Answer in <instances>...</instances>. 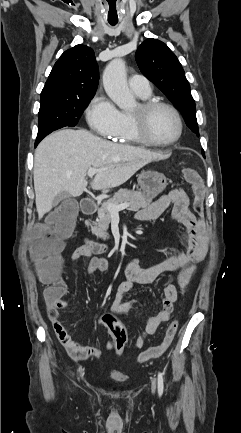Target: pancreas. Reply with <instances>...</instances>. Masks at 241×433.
I'll list each match as a JSON object with an SVG mask.
<instances>
[{
	"instance_id": "1",
	"label": "pancreas",
	"mask_w": 241,
	"mask_h": 433,
	"mask_svg": "<svg viewBox=\"0 0 241 433\" xmlns=\"http://www.w3.org/2000/svg\"><path fill=\"white\" fill-rule=\"evenodd\" d=\"M151 202L152 198L145 196L141 191L120 190L114 194L113 198L98 208L96 222L91 225L92 234L103 240L109 238L107 230L111 222V213L107 209V204L128 203L130 210L138 211L140 208L147 207Z\"/></svg>"
}]
</instances>
